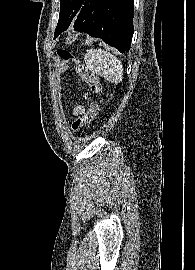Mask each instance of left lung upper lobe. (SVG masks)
<instances>
[{
    "instance_id": "5c2ea615",
    "label": "left lung upper lobe",
    "mask_w": 195,
    "mask_h": 270,
    "mask_svg": "<svg viewBox=\"0 0 195 270\" xmlns=\"http://www.w3.org/2000/svg\"><path fill=\"white\" fill-rule=\"evenodd\" d=\"M85 0H60V15L55 35L60 34L75 19Z\"/></svg>"
}]
</instances>
